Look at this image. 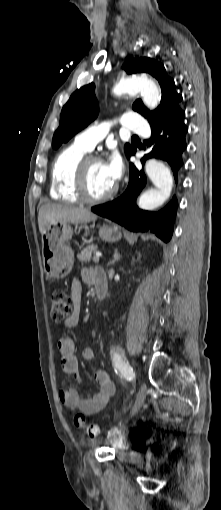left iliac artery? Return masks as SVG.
Wrapping results in <instances>:
<instances>
[{
  "label": "left iliac artery",
  "mask_w": 221,
  "mask_h": 510,
  "mask_svg": "<svg viewBox=\"0 0 221 510\" xmlns=\"http://www.w3.org/2000/svg\"><path fill=\"white\" fill-rule=\"evenodd\" d=\"M112 362L114 367L118 369L127 380L132 381L135 379V372L121 351H114L112 353Z\"/></svg>",
  "instance_id": "44dca946"
}]
</instances>
